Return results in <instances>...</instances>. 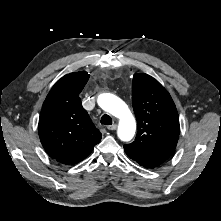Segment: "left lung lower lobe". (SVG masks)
Here are the masks:
<instances>
[{"mask_svg":"<svg viewBox=\"0 0 221 221\" xmlns=\"http://www.w3.org/2000/svg\"><path fill=\"white\" fill-rule=\"evenodd\" d=\"M141 165V164H140ZM142 166H144V167H146V168H154V167H151V166H145V165H142Z\"/></svg>","mask_w":221,"mask_h":221,"instance_id":"0a47b994","label":"left lung lower lobe"}]
</instances>
